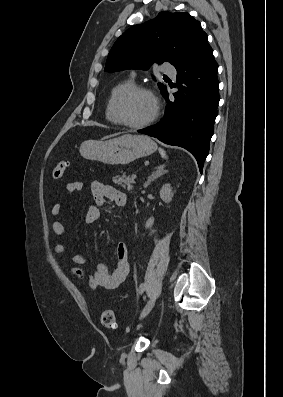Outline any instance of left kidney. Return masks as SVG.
I'll list each match as a JSON object with an SVG mask.
<instances>
[{
    "mask_svg": "<svg viewBox=\"0 0 283 397\" xmlns=\"http://www.w3.org/2000/svg\"><path fill=\"white\" fill-rule=\"evenodd\" d=\"M160 197L165 203H169L172 201L173 193H172V187L169 183L164 184L160 190ZM154 223V217H150L146 224L145 228L149 229Z\"/></svg>",
    "mask_w": 283,
    "mask_h": 397,
    "instance_id": "1",
    "label": "left kidney"
}]
</instances>
